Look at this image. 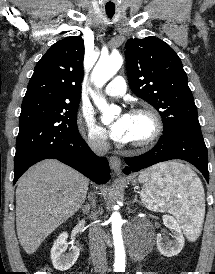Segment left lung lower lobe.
Returning a JSON list of instances; mask_svg holds the SVG:
<instances>
[{"label":"left lung lower lobe","instance_id":"0a47b994","mask_svg":"<svg viewBox=\"0 0 215 274\" xmlns=\"http://www.w3.org/2000/svg\"><path fill=\"white\" fill-rule=\"evenodd\" d=\"M181 159L193 164L209 182L207 148L202 134L173 131L161 136L150 151L125 158V174L140 171L159 162Z\"/></svg>","mask_w":215,"mask_h":274}]
</instances>
